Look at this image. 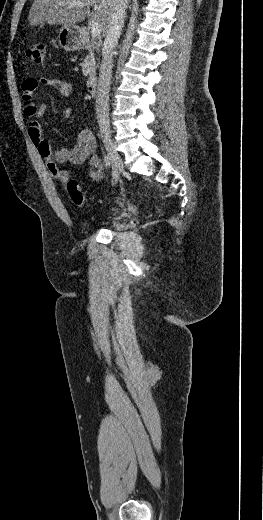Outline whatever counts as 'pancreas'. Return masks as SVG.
Wrapping results in <instances>:
<instances>
[{"instance_id": "pancreas-1", "label": "pancreas", "mask_w": 263, "mask_h": 520, "mask_svg": "<svg viewBox=\"0 0 263 520\" xmlns=\"http://www.w3.org/2000/svg\"><path fill=\"white\" fill-rule=\"evenodd\" d=\"M96 47L94 46L93 40H91L88 44V51L89 53L84 58L82 66V72L84 76L92 75L95 73L96 70V58L94 54V49Z\"/></svg>"}]
</instances>
